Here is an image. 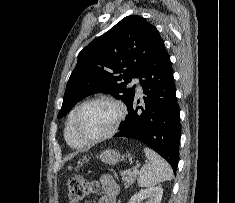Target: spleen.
<instances>
[{
    "label": "spleen",
    "instance_id": "spleen-1",
    "mask_svg": "<svg viewBox=\"0 0 235 203\" xmlns=\"http://www.w3.org/2000/svg\"><path fill=\"white\" fill-rule=\"evenodd\" d=\"M148 164H145L140 172L138 184L141 187H152L163 181L173 179V171L170 165L150 148H144Z\"/></svg>",
    "mask_w": 235,
    "mask_h": 203
}]
</instances>
